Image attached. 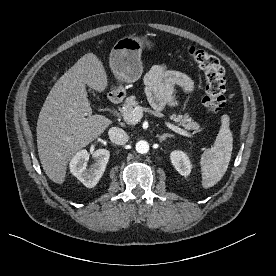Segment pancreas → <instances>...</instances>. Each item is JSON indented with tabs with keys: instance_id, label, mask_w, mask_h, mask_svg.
Here are the masks:
<instances>
[{
	"instance_id": "pancreas-1",
	"label": "pancreas",
	"mask_w": 276,
	"mask_h": 276,
	"mask_svg": "<svg viewBox=\"0 0 276 276\" xmlns=\"http://www.w3.org/2000/svg\"><path fill=\"white\" fill-rule=\"evenodd\" d=\"M137 106H139V101L137 100L136 96L132 95L126 98L121 113L127 123H135L134 121H130L128 118L133 109ZM170 119L183 126L187 130H198L200 127V125L197 122H194L188 114L182 115L181 113H172L170 115Z\"/></svg>"
}]
</instances>
